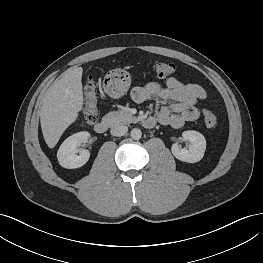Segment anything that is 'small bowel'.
Masks as SVG:
<instances>
[{
    "instance_id": "c3829d8e",
    "label": "small bowel",
    "mask_w": 263,
    "mask_h": 263,
    "mask_svg": "<svg viewBox=\"0 0 263 263\" xmlns=\"http://www.w3.org/2000/svg\"><path fill=\"white\" fill-rule=\"evenodd\" d=\"M131 97L136 103H144L152 99L163 101L164 105L156 116L158 122L178 129L199 117L200 110L197 104L198 101L207 99V93L197 84L183 83L174 77H169L162 85L149 82L135 87Z\"/></svg>"
}]
</instances>
